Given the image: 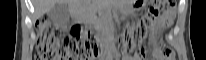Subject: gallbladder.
Instances as JSON below:
<instances>
[{
    "mask_svg": "<svg viewBox=\"0 0 206 60\" xmlns=\"http://www.w3.org/2000/svg\"><path fill=\"white\" fill-rule=\"evenodd\" d=\"M49 19L55 26L64 27L70 17L68 4L65 1L57 3L51 10L47 12Z\"/></svg>",
    "mask_w": 206,
    "mask_h": 60,
    "instance_id": "bac80fb5",
    "label": "gallbladder"
}]
</instances>
